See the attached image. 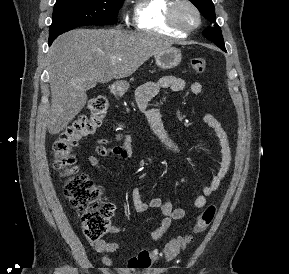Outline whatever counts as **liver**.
Returning a JSON list of instances; mask_svg holds the SVG:
<instances>
[{
	"label": "liver",
	"instance_id": "liver-1",
	"mask_svg": "<svg viewBox=\"0 0 289 274\" xmlns=\"http://www.w3.org/2000/svg\"><path fill=\"white\" fill-rule=\"evenodd\" d=\"M170 46L158 37L117 29H76L60 35L48 53V132L60 133L79 114L87 102L89 84L128 77Z\"/></svg>",
	"mask_w": 289,
	"mask_h": 274
}]
</instances>
